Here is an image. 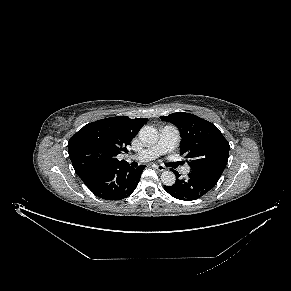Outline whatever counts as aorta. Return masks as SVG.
<instances>
[{
  "instance_id": "aorta-1",
  "label": "aorta",
  "mask_w": 291,
  "mask_h": 291,
  "mask_svg": "<svg viewBox=\"0 0 291 291\" xmlns=\"http://www.w3.org/2000/svg\"><path fill=\"white\" fill-rule=\"evenodd\" d=\"M159 133L153 126H143L139 131V139L144 144H155L158 141ZM161 181L166 186L174 185L176 181V176L172 171H164L161 174Z\"/></svg>"
}]
</instances>
